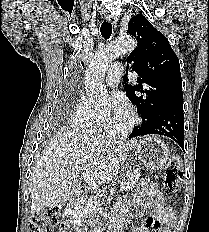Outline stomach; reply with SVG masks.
Returning a JSON list of instances; mask_svg holds the SVG:
<instances>
[{
    "label": "stomach",
    "mask_w": 209,
    "mask_h": 232,
    "mask_svg": "<svg viewBox=\"0 0 209 232\" xmlns=\"http://www.w3.org/2000/svg\"><path fill=\"white\" fill-rule=\"evenodd\" d=\"M138 159L148 168L162 170L169 159V148L155 137H144L136 148Z\"/></svg>",
    "instance_id": "stomach-1"
}]
</instances>
